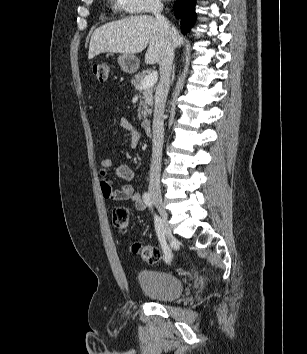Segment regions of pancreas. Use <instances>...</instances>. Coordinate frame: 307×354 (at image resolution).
Returning <instances> with one entry per match:
<instances>
[{
	"label": "pancreas",
	"instance_id": "1",
	"mask_svg": "<svg viewBox=\"0 0 307 354\" xmlns=\"http://www.w3.org/2000/svg\"><path fill=\"white\" fill-rule=\"evenodd\" d=\"M147 76L146 72L138 73L131 80L135 89L140 92V104L138 108V118H147L152 113L153 107V87L141 89V81Z\"/></svg>",
	"mask_w": 307,
	"mask_h": 354
}]
</instances>
